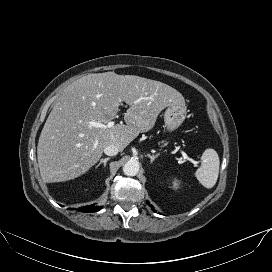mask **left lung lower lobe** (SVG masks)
<instances>
[{"label": "left lung lower lobe", "instance_id": "1", "mask_svg": "<svg viewBox=\"0 0 272 272\" xmlns=\"http://www.w3.org/2000/svg\"><path fill=\"white\" fill-rule=\"evenodd\" d=\"M147 204L153 209V206L151 204H149V202L147 201Z\"/></svg>", "mask_w": 272, "mask_h": 272}]
</instances>
